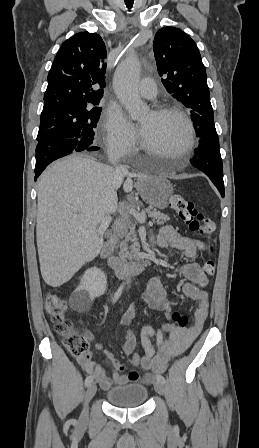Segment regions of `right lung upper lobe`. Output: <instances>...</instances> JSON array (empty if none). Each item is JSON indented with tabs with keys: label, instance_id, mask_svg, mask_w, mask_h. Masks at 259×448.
I'll return each mask as SVG.
<instances>
[{
	"label": "right lung upper lobe",
	"instance_id": "right-lung-upper-lobe-1",
	"mask_svg": "<svg viewBox=\"0 0 259 448\" xmlns=\"http://www.w3.org/2000/svg\"><path fill=\"white\" fill-rule=\"evenodd\" d=\"M106 56L96 33L79 32L66 40L48 74L42 114L98 105L105 88Z\"/></svg>",
	"mask_w": 259,
	"mask_h": 448
}]
</instances>
